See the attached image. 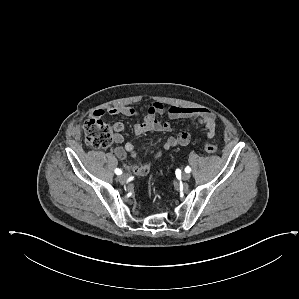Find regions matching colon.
Listing matches in <instances>:
<instances>
[{"instance_id":"1","label":"colon","mask_w":299,"mask_h":299,"mask_svg":"<svg viewBox=\"0 0 299 299\" xmlns=\"http://www.w3.org/2000/svg\"><path fill=\"white\" fill-rule=\"evenodd\" d=\"M83 130L87 144L93 148L106 149L115 141L112 127L102 119L88 120L85 122ZM204 148L208 153L217 152V146L211 141H206Z\"/></svg>"}]
</instances>
